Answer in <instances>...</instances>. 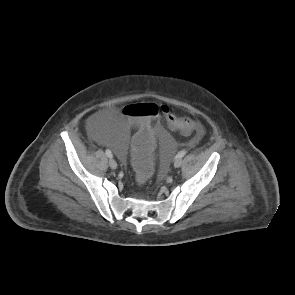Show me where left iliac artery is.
Here are the masks:
<instances>
[{"label":"left iliac artery","instance_id":"obj_1","mask_svg":"<svg viewBox=\"0 0 295 295\" xmlns=\"http://www.w3.org/2000/svg\"><path fill=\"white\" fill-rule=\"evenodd\" d=\"M186 154V151H180L176 156H175V159H178V158H182L184 157Z\"/></svg>","mask_w":295,"mask_h":295}]
</instances>
